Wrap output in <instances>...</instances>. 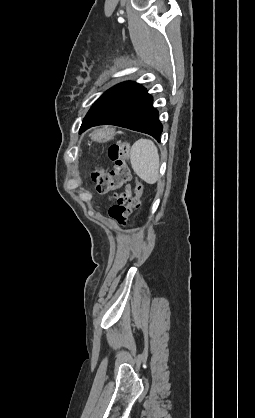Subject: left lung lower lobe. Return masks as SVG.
Here are the masks:
<instances>
[{
  "label": "left lung lower lobe",
  "instance_id": "left-lung-lower-lobe-1",
  "mask_svg": "<svg viewBox=\"0 0 255 418\" xmlns=\"http://www.w3.org/2000/svg\"><path fill=\"white\" fill-rule=\"evenodd\" d=\"M152 96L136 82H122L102 94L85 116L80 133L92 126L117 125L143 132L160 141L163 127Z\"/></svg>",
  "mask_w": 255,
  "mask_h": 418
}]
</instances>
